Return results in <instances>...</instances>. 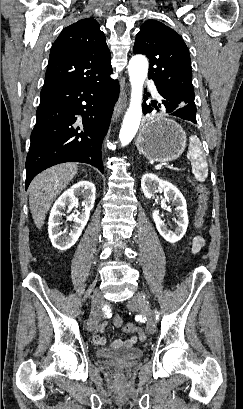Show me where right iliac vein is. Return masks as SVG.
<instances>
[{"label":"right iliac vein","instance_id":"1","mask_svg":"<svg viewBox=\"0 0 243 409\" xmlns=\"http://www.w3.org/2000/svg\"><path fill=\"white\" fill-rule=\"evenodd\" d=\"M100 300L101 294L99 291H95L92 296V309L90 317L87 323V330L92 332L96 329L100 318Z\"/></svg>","mask_w":243,"mask_h":409}]
</instances>
